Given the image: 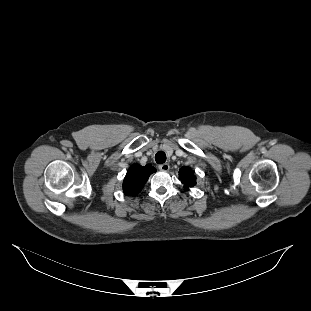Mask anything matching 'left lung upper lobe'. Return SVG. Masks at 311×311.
I'll return each instance as SVG.
<instances>
[{"label": "left lung upper lobe", "instance_id": "1", "mask_svg": "<svg viewBox=\"0 0 311 311\" xmlns=\"http://www.w3.org/2000/svg\"><path fill=\"white\" fill-rule=\"evenodd\" d=\"M179 176L186 190L196 184V177L189 167H182L179 171Z\"/></svg>", "mask_w": 311, "mask_h": 311}]
</instances>
